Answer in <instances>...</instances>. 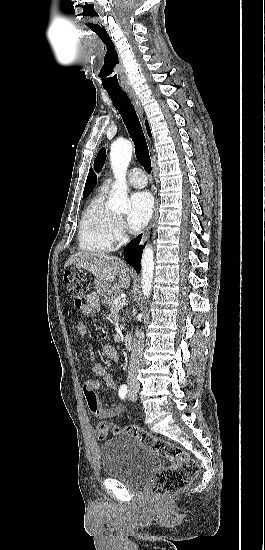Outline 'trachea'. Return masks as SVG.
Returning a JSON list of instances; mask_svg holds the SVG:
<instances>
[{"label":"trachea","mask_w":265,"mask_h":550,"mask_svg":"<svg viewBox=\"0 0 265 550\" xmlns=\"http://www.w3.org/2000/svg\"><path fill=\"white\" fill-rule=\"evenodd\" d=\"M108 94L114 106L119 111L128 133L134 142L137 160L147 173H151V159L148 146L134 106L123 91H108Z\"/></svg>","instance_id":"1"}]
</instances>
